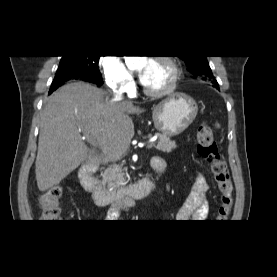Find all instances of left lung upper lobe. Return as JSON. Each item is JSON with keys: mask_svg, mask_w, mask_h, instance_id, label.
Segmentation results:
<instances>
[{"mask_svg": "<svg viewBox=\"0 0 277 277\" xmlns=\"http://www.w3.org/2000/svg\"><path fill=\"white\" fill-rule=\"evenodd\" d=\"M184 60L188 66L190 72L195 76H201L204 80L210 81L214 85H218L209 63L207 56H179Z\"/></svg>", "mask_w": 277, "mask_h": 277, "instance_id": "left-lung-upper-lobe-1", "label": "left lung upper lobe"}]
</instances>
